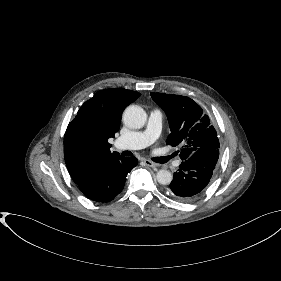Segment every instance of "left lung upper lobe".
I'll list each match as a JSON object with an SVG mask.
<instances>
[{
	"label": "left lung upper lobe",
	"instance_id": "left-lung-upper-lobe-1",
	"mask_svg": "<svg viewBox=\"0 0 281 281\" xmlns=\"http://www.w3.org/2000/svg\"><path fill=\"white\" fill-rule=\"evenodd\" d=\"M151 97L165 111L168 118L171 133L166 143L182 146V160L188 159L199 150H219L216 130L195 101L186 96L154 92Z\"/></svg>",
	"mask_w": 281,
	"mask_h": 281
}]
</instances>
